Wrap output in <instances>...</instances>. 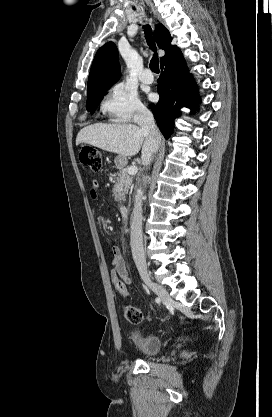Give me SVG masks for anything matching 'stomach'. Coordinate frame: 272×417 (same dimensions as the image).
<instances>
[{
  "label": "stomach",
  "instance_id": "0dacf381",
  "mask_svg": "<svg viewBox=\"0 0 272 417\" xmlns=\"http://www.w3.org/2000/svg\"><path fill=\"white\" fill-rule=\"evenodd\" d=\"M114 162L117 168L122 169L127 163V158L125 156L118 155Z\"/></svg>",
  "mask_w": 272,
  "mask_h": 417
}]
</instances>
